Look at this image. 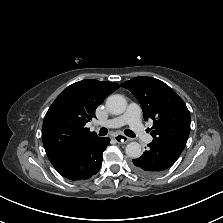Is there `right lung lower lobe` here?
<instances>
[{"mask_svg": "<svg viewBox=\"0 0 223 223\" xmlns=\"http://www.w3.org/2000/svg\"><path fill=\"white\" fill-rule=\"evenodd\" d=\"M107 137H97L85 147L51 162L55 169L70 180H84L95 175L102 165V153L109 145Z\"/></svg>", "mask_w": 223, "mask_h": 223, "instance_id": "right-lung-lower-lobe-1", "label": "right lung lower lobe"}]
</instances>
